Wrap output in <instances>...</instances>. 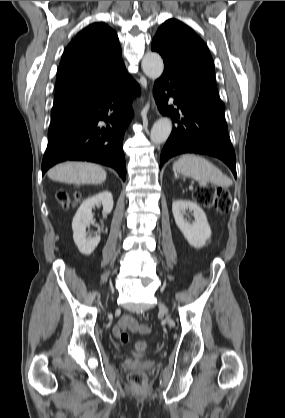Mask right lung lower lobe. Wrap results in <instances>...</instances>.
Returning a JSON list of instances; mask_svg holds the SVG:
<instances>
[{"label":"right lung lower lobe","mask_w":285,"mask_h":418,"mask_svg":"<svg viewBox=\"0 0 285 418\" xmlns=\"http://www.w3.org/2000/svg\"><path fill=\"white\" fill-rule=\"evenodd\" d=\"M140 94L128 76L118 85L51 118L42 174L66 160L90 161L114 168L125 180L123 137L133 112L132 98ZM100 121L105 125L101 126Z\"/></svg>","instance_id":"1"}]
</instances>
